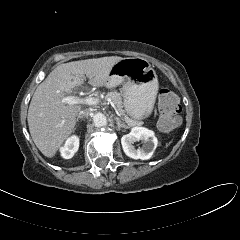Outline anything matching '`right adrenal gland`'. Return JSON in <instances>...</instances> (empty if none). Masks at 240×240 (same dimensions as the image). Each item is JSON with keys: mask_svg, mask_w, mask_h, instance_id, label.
Instances as JSON below:
<instances>
[{"mask_svg": "<svg viewBox=\"0 0 240 240\" xmlns=\"http://www.w3.org/2000/svg\"><path fill=\"white\" fill-rule=\"evenodd\" d=\"M77 122L79 121V118H77V120H76ZM76 128H74V130H75Z\"/></svg>", "mask_w": 240, "mask_h": 240, "instance_id": "1", "label": "right adrenal gland"}]
</instances>
